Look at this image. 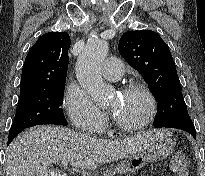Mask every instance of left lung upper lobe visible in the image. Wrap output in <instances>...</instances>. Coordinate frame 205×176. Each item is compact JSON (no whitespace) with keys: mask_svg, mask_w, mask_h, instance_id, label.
<instances>
[{"mask_svg":"<svg viewBox=\"0 0 205 176\" xmlns=\"http://www.w3.org/2000/svg\"><path fill=\"white\" fill-rule=\"evenodd\" d=\"M118 49L143 76L158 100L154 121L156 128L189 118L175 63L169 47L158 33L150 30L129 31L121 37Z\"/></svg>","mask_w":205,"mask_h":176,"instance_id":"obj_1","label":"left lung upper lobe"}]
</instances>
